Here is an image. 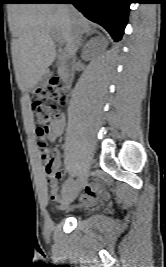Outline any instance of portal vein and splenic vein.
Here are the masks:
<instances>
[{"label": "portal vein and splenic vein", "instance_id": "obj_1", "mask_svg": "<svg viewBox=\"0 0 166 267\" xmlns=\"http://www.w3.org/2000/svg\"><path fill=\"white\" fill-rule=\"evenodd\" d=\"M52 36L54 37V39H56L60 44H62L64 41L62 40V37L58 34L53 32Z\"/></svg>", "mask_w": 166, "mask_h": 267}]
</instances>
